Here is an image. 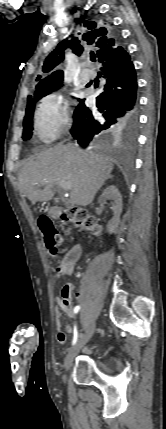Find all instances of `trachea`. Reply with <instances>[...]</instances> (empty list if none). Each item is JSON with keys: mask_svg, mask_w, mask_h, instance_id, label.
Instances as JSON below:
<instances>
[{"mask_svg": "<svg viewBox=\"0 0 166 429\" xmlns=\"http://www.w3.org/2000/svg\"><path fill=\"white\" fill-rule=\"evenodd\" d=\"M91 61H92V62H95V61H96L94 56H92V57H91Z\"/></svg>", "mask_w": 166, "mask_h": 429, "instance_id": "obj_1", "label": "trachea"}]
</instances>
